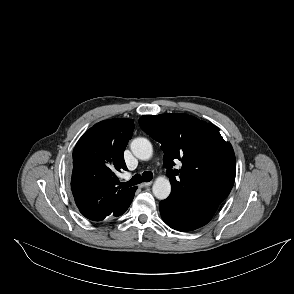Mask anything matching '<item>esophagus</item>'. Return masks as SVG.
Wrapping results in <instances>:
<instances>
[{
  "mask_svg": "<svg viewBox=\"0 0 294 294\" xmlns=\"http://www.w3.org/2000/svg\"><path fill=\"white\" fill-rule=\"evenodd\" d=\"M151 184H152V181H150V182H143V183L140 184V187H141V188H143V187H148V186H150Z\"/></svg>",
  "mask_w": 294,
  "mask_h": 294,
  "instance_id": "obj_1",
  "label": "esophagus"
}]
</instances>
